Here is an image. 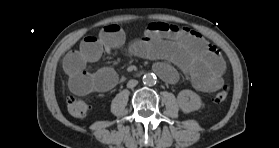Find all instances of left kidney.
<instances>
[{
    "mask_svg": "<svg viewBox=\"0 0 279 148\" xmlns=\"http://www.w3.org/2000/svg\"><path fill=\"white\" fill-rule=\"evenodd\" d=\"M177 101L180 109L184 113L199 110L202 107L200 96L192 90H182L178 93Z\"/></svg>",
    "mask_w": 279,
    "mask_h": 148,
    "instance_id": "obj_1",
    "label": "left kidney"
}]
</instances>
